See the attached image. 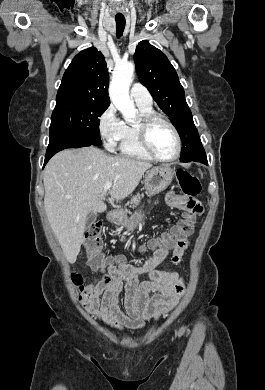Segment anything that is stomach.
<instances>
[{
	"label": "stomach",
	"instance_id": "1",
	"mask_svg": "<svg viewBox=\"0 0 265 390\" xmlns=\"http://www.w3.org/2000/svg\"><path fill=\"white\" fill-rule=\"evenodd\" d=\"M175 172L168 167H155L145 175V190L148 196L156 195L164 191L172 182ZM141 212H136L129 220L118 218L128 230L134 229L141 220Z\"/></svg>",
	"mask_w": 265,
	"mask_h": 390
}]
</instances>
